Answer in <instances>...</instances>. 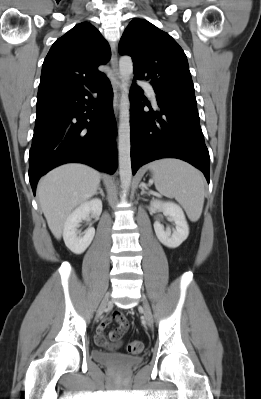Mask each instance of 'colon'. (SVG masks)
Listing matches in <instances>:
<instances>
[{"label":"colon","instance_id":"1","mask_svg":"<svg viewBox=\"0 0 261 399\" xmlns=\"http://www.w3.org/2000/svg\"><path fill=\"white\" fill-rule=\"evenodd\" d=\"M144 349V344L140 340H134L128 343L127 351L130 354L137 355L140 354Z\"/></svg>","mask_w":261,"mask_h":399}]
</instances>
